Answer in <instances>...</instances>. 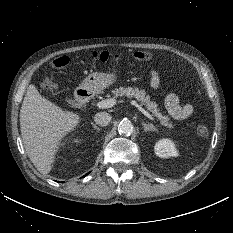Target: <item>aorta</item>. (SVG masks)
I'll return each instance as SVG.
<instances>
[{
	"mask_svg": "<svg viewBox=\"0 0 233 233\" xmlns=\"http://www.w3.org/2000/svg\"><path fill=\"white\" fill-rule=\"evenodd\" d=\"M118 132L121 135L130 136L133 133V125L129 120H122L118 125Z\"/></svg>",
	"mask_w": 233,
	"mask_h": 233,
	"instance_id": "762f6f07",
	"label": "aorta"
}]
</instances>
